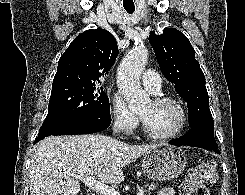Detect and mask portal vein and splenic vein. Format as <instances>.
Wrapping results in <instances>:
<instances>
[{"instance_id":"obj_1","label":"portal vein and splenic vein","mask_w":245,"mask_h":195,"mask_svg":"<svg viewBox=\"0 0 245 195\" xmlns=\"http://www.w3.org/2000/svg\"><path fill=\"white\" fill-rule=\"evenodd\" d=\"M74 177L82 182L92 190L100 193L101 195H120L114 188L95 180L92 176L74 175ZM144 191L140 190L136 195H143Z\"/></svg>"}]
</instances>
